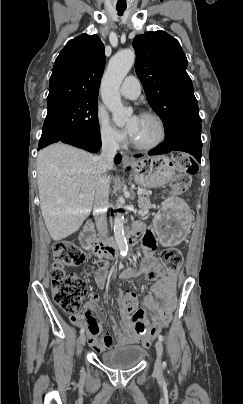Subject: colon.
<instances>
[{
    "label": "colon",
    "mask_w": 243,
    "mask_h": 404,
    "mask_svg": "<svg viewBox=\"0 0 243 404\" xmlns=\"http://www.w3.org/2000/svg\"><path fill=\"white\" fill-rule=\"evenodd\" d=\"M198 171L195 161L186 154H180L176 160V175L172 181V193L180 195L186 192L192 183V176ZM164 271L168 275H175L183 261L182 254L174 248L164 249L160 254ZM84 252L75 244L58 242L53 247V264L50 271L51 291L56 304L65 312L76 315L80 309L81 301L87 293L84 281L76 274L67 273L66 269L78 267L85 263ZM102 266L105 261H100ZM85 272H91L90 265H85ZM160 273L151 270L147 274L149 280L158 279ZM119 305L124 316L131 315L137 309V296L128 292L120 297ZM149 345L148 342L144 343Z\"/></svg>",
    "instance_id": "5ec220e1"
}]
</instances>
